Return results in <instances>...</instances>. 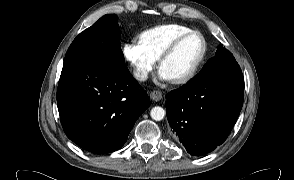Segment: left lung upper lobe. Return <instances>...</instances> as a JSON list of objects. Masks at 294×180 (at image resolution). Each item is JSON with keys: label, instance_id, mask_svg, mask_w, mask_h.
Wrapping results in <instances>:
<instances>
[{"label": "left lung upper lobe", "instance_id": "1", "mask_svg": "<svg viewBox=\"0 0 294 180\" xmlns=\"http://www.w3.org/2000/svg\"><path fill=\"white\" fill-rule=\"evenodd\" d=\"M225 73H241V69L232 53L219 46L214 57L203 67L201 72L190 81L202 82Z\"/></svg>", "mask_w": 294, "mask_h": 180}]
</instances>
